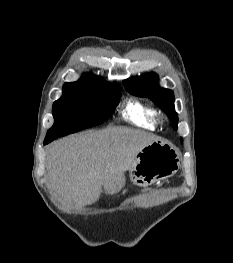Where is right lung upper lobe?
Returning <instances> with one entry per match:
<instances>
[{
  "label": "right lung upper lobe",
  "mask_w": 233,
  "mask_h": 263,
  "mask_svg": "<svg viewBox=\"0 0 233 263\" xmlns=\"http://www.w3.org/2000/svg\"><path fill=\"white\" fill-rule=\"evenodd\" d=\"M120 88L108 82H104L100 77L85 73L76 82L65 83L63 86V95L77 96V95H97L106 93L109 90Z\"/></svg>",
  "instance_id": "obj_1"
}]
</instances>
